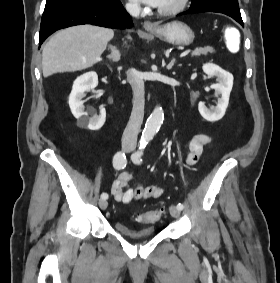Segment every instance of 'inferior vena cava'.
Instances as JSON below:
<instances>
[{
  "label": "inferior vena cava",
  "mask_w": 280,
  "mask_h": 283,
  "mask_svg": "<svg viewBox=\"0 0 280 283\" xmlns=\"http://www.w3.org/2000/svg\"><path fill=\"white\" fill-rule=\"evenodd\" d=\"M126 10L133 17H137L140 14L141 8L136 3H128ZM126 74L133 90V108L129 122L122 135V144L135 147L144 117V81L140 73L134 68L129 69Z\"/></svg>",
  "instance_id": "602c4592"
}]
</instances>
